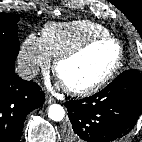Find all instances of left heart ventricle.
I'll return each instance as SVG.
<instances>
[{
	"mask_svg": "<svg viewBox=\"0 0 142 142\" xmlns=\"http://www.w3.org/2000/svg\"><path fill=\"white\" fill-rule=\"evenodd\" d=\"M117 54L115 44H97L82 55L63 63L60 67V80L64 85L74 88L88 86L108 72Z\"/></svg>",
	"mask_w": 142,
	"mask_h": 142,
	"instance_id": "left-heart-ventricle-1",
	"label": "left heart ventricle"
}]
</instances>
